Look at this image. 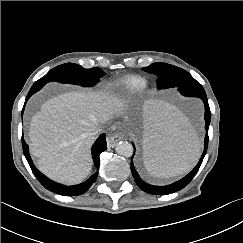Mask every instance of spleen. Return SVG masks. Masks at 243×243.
I'll return each instance as SVG.
<instances>
[{
  "instance_id": "3e777b00",
  "label": "spleen",
  "mask_w": 243,
  "mask_h": 243,
  "mask_svg": "<svg viewBox=\"0 0 243 243\" xmlns=\"http://www.w3.org/2000/svg\"><path fill=\"white\" fill-rule=\"evenodd\" d=\"M146 170L168 178L187 172L197 162L201 143L188 119L175 107L156 99L140 110Z\"/></svg>"
}]
</instances>
